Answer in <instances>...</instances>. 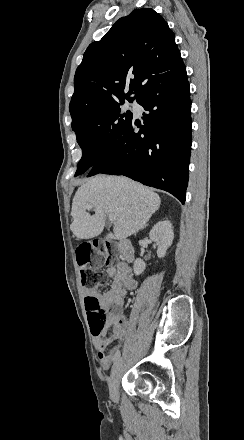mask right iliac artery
I'll list each match as a JSON object with an SVG mask.
<instances>
[{"label":"right iliac artery","instance_id":"82829eb1","mask_svg":"<svg viewBox=\"0 0 244 440\" xmlns=\"http://www.w3.org/2000/svg\"><path fill=\"white\" fill-rule=\"evenodd\" d=\"M120 351H117L114 355V360H117L120 357Z\"/></svg>","mask_w":244,"mask_h":440}]
</instances>
